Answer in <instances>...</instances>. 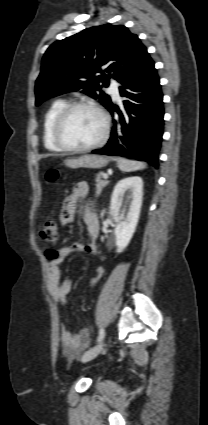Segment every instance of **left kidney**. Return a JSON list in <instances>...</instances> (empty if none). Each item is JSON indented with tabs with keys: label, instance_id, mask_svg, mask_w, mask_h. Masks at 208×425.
<instances>
[{
	"label": "left kidney",
	"instance_id": "left-kidney-1",
	"mask_svg": "<svg viewBox=\"0 0 208 425\" xmlns=\"http://www.w3.org/2000/svg\"><path fill=\"white\" fill-rule=\"evenodd\" d=\"M126 193V202L121 209L122 198ZM143 199V181L138 176L120 180L114 187L110 215L116 223L114 230L117 252H122L129 244L139 220Z\"/></svg>",
	"mask_w": 208,
	"mask_h": 425
}]
</instances>
